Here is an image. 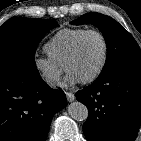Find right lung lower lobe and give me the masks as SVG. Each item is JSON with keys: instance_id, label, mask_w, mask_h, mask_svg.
I'll use <instances>...</instances> for the list:
<instances>
[{"instance_id": "obj_1", "label": "right lung lower lobe", "mask_w": 141, "mask_h": 141, "mask_svg": "<svg viewBox=\"0 0 141 141\" xmlns=\"http://www.w3.org/2000/svg\"><path fill=\"white\" fill-rule=\"evenodd\" d=\"M67 105L39 72L0 71V141H46L53 116Z\"/></svg>"}]
</instances>
